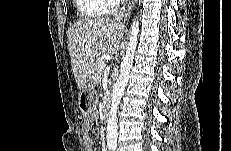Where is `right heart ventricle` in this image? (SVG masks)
<instances>
[{
    "label": "right heart ventricle",
    "mask_w": 231,
    "mask_h": 151,
    "mask_svg": "<svg viewBox=\"0 0 231 151\" xmlns=\"http://www.w3.org/2000/svg\"><path fill=\"white\" fill-rule=\"evenodd\" d=\"M77 5L83 21L93 20L106 13L105 1L102 0H78Z\"/></svg>",
    "instance_id": "obj_1"
}]
</instances>
